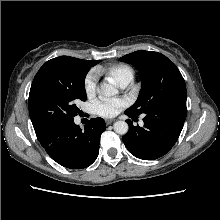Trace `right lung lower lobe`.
Wrapping results in <instances>:
<instances>
[{"instance_id":"1","label":"right lung lower lobe","mask_w":220,"mask_h":220,"mask_svg":"<svg viewBox=\"0 0 220 220\" xmlns=\"http://www.w3.org/2000/svg\"><path fill=\"white\" fill-rule=\"evenodd\" d=\"M105 128V121L100 117L90 119L84 130L71 120L38 140L49 156L60 165L83 169L96 160L100 136Z\"/></svg>"}]
</instances>
